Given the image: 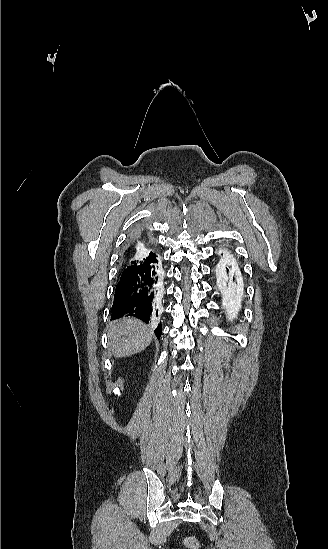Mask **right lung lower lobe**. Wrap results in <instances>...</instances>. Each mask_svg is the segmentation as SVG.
I'll use <instances>...</instances> for the list:
<instances>
[{"label": "right lung lower lobe", "mask_w": 328, "mask_h": 549, "mask_svg": "<svg viewBox=\"0 0 328 549\" xmlns=\"http://www.w3.org/2000/svg\"><path fill=\"white\" fill-rule=\"evenodd\" d=\"M134 240L135 236L126 247L123 260L131 251ZM161 285V265L157 255L142 260L135 269L127 273L122 272L115 289L111 319L123 316L139 318L145 323L154 325V332L159 339L162 326L161 323H158V309L155 305V298Z\"/></svg>", "instance_id": "right-lung-lower-lobe-1"}]
</instances>
